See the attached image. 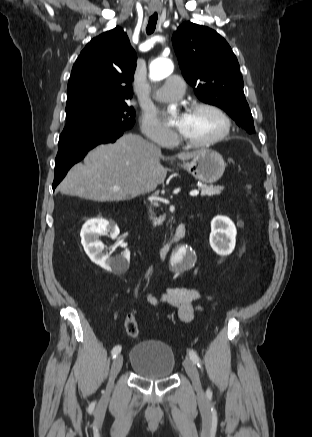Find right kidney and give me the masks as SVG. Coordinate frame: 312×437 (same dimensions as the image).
Returning a JSON list of instances; mask_svg holds the SVG:
<instances>
[{"label": "right kidney", "mask_w": 312, "mask_h": 437, "mask_svg": "<svg viewBox=\"0 0 312 437\" xmlns=\"http://www.w3.org/2000/svg\"><path fill=\"white\" fill-rule=\"evenodd\" d=\"M109 234L112 238H116L119 234L117 225H111L104 219H92L87 221L81 229V243L86 254L91 261L99 265L103 269L110 272H122L129 268L130 252L125 249L120 256L110 257L108 254H103L104 244L98 239L100 235ZM126 243H122L121 247H126Z\"/></svg>", "instance_id": "obj_1"}]
</instances>
